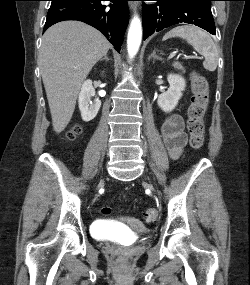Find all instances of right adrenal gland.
<instances>
[{
	"mask_svg": "<svg viewBox=\"0 0 250 285\" xmlns=\"http://www.w3.org/2000/svg\"><path fill=\"white\" fill-rule=\"evenodd\" d=\"M103 60H106V61H109V58L107 55H105L100 61H103Z\"/></svg>",
	"mask_w": 250,
	"mask_h": 285,
	"instance_id": "obj_1",
	"label": "right adrenal gland"
}]
</instances>
